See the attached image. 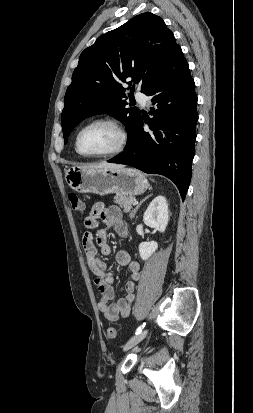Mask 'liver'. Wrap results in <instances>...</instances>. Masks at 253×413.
<instances>
[{
    "label": "liver",
    "mask_w": 253,
    "mask_h": 413,
    "mask_svg": "<svg viewBox=\"0 0 253 413\" xmlns=\"http://www.w3.org/2000/svg\"><path fill=\"white\" fill-rule=\"evenodd\" d=\"M124 165L122 164H115V163H108V162H101L98 164H92V165H87L84 166V168H90V169H118L122 168Z\"/></svg>",
    "instance_id": "liver-1"
}]
</instances>
